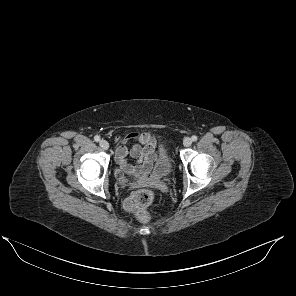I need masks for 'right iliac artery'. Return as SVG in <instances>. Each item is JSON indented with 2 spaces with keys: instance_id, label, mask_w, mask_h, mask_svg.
Returning a JSON list of instances; mask_svg holds the SVG:
<instances>
[{
  "instance_id": "obj_1",
  "label": "right iliac artery",
  "mask_w": 296,
  "mask_h": 296,
  "mask_svg": "<svg viewBox=\"0 0 296 296\" xmlns=\"http://www.w3.org/2000/svg\"><path fill=\"white\" fill-rule=\"evenodd\" d=\"M94 140H95L96 142H99V141H100V137H99L98 135H96V136L94 137Z\"/></svg>"
}]
</instances>
